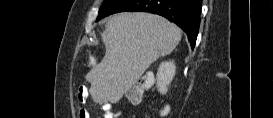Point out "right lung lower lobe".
<instances>
[{
  "label": "right lung lower lobe",
  "instance_id": "98d812e1",
  "mask_svg": "<svg viewBox=\"0 0 273 118\" xmlns=\"http://www.w3.org/2000/svg\"><path fill=\"white\" fill-rule=\"evenodd\" d=\"M201 7L202 0H123L111 14L143 11L163 16L183 29L193 49L199 31Z\"/></svg>",
  "mask_w": 273,
  "mask_h": 118
}]
</instances>
